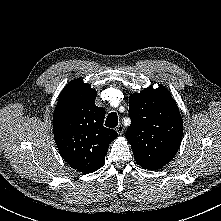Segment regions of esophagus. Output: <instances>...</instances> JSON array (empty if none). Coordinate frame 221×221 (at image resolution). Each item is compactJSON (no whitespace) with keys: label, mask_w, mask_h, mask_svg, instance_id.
<instances>
[{"label":"esophagus","mask_w":221,"mask_h":221,"mask_svg":"<svg viewBox=\"0 0 221 221\" xmlns=\"http://www.w3.org/2000/svg\"><path fill=\"white\" fill-rule=\"evenodd\" d=\"M116 131L118 134L122 135L123 134V131H124V127L122 124H118L117 127H116Z\"/></svg>","instance_id":"obj_1"}]
</instances>
